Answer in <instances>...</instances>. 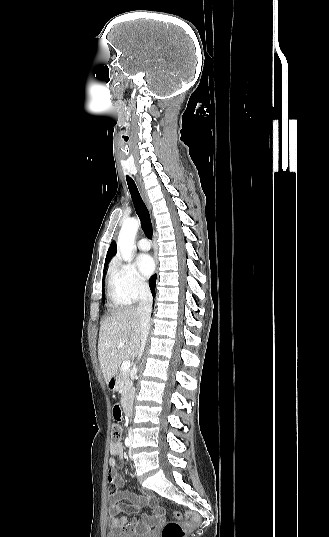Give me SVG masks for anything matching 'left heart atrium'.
Segmentation results:
<instances>
[{
    "mask_svg": "<svg viewBox=\"0 0 329 537\" xmlns=\"http://www.w3.org/2000/svg\"><path fill=\"white\" fill-rule=\"evenodd\" d=\"M137 266L144 277H149L155 267L153 258L148 254H141L137 257Z\"/></svg>",
    "mask_w": 329,
    "mask_h": 537,
    "instance_id": "1",
    "label": "left heart atrium"
}]
</instances>
